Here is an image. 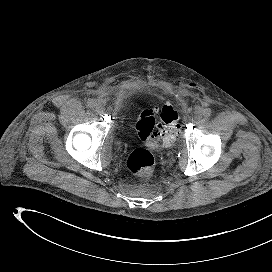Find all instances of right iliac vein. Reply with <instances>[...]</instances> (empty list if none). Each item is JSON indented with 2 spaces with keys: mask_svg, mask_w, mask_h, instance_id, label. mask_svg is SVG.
I'll use <instances>...</instances> for the list:
<instances>
[{
  "mask_svg": "<svg viewBox=\"0 0 272 272\" xmlns=\"http://www.w3.org/2000/svg\"><path fill=\"white\" fill-rule=\"evenodd\" d=\"M103 108H104L103 103L101 101H99V100L96 101V103H95L96 111L101 112V111H103Z\"/></svg>",
  "mask_w": 272,
  "mask_h": 272,
  "instance_id": "obj_1",
  "label": "right iliac vein"
}]
</instances>
